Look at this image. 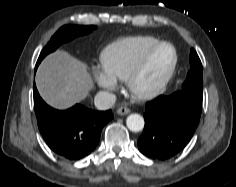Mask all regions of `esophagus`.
<instances>
[{
  "mask_svg": "<svg viewBox=\"0 0 236 187\" xmlns=\"http://www.w3.org/2000/svg\"><path fill=\"white\" fill-rule=\"evenodd\" d=\"M117 114L119 115H126V114H129L130 113V109L127 108V107H120L117 109Z\"/></svg>",
  "mask_w": 236,
  "mask_h": 187,
  "instance_id": "obj_1",
  "label": "esophagus"
}]
</instances>
